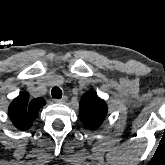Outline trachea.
<instances>
[{
  "label": "trachea",
  "instance_id": "obj_1",
  "mask_svg": "<svg viewBox=\"0 0 165 165\" xmlns=\"http://www.w3.org/2000/svg\"><path fill=\"white\" fill-rule=\"evenodd\" d=\"M51 94H52V97H53V98H61V96H62V91H61L60 88L54 87V88L51 90Z\"/></svg>",
  "mask_w": 165,
  "mask_h": 165
}]
</instances>
